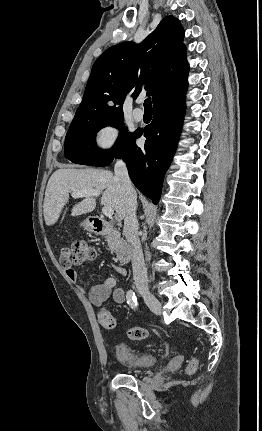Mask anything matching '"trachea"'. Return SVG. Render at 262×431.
I'll use <instances>...</instances> for the list:
<instances>
[{"mask_svg": "<svg viewBox=\"0 0 262 431\" xmlns=\"http://www.w3.org/2000/svg\"><path fill=\"white\" fill-rule=\"evenodd\" d=\"M144 109L145 110H152L151 98H147L144 101Z\"/></svg>", "mask_w": 262, "mask_h": 431, "instance_id": "obj_1", "label": "trachea"}]
</instances>
